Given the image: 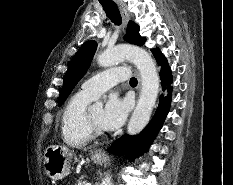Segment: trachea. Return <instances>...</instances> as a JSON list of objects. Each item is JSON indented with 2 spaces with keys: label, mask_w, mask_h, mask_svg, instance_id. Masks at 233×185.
Segmentation results:
<instances>
[{
  "label": "trachea",
  "mask_w": 233,
  "mask_h": 185,
  "mask_svg": "<svg viewBox=\"0 0 233 185\" xmlns=\"http://www.w3.org/2000/svg\"><path fill=\"white\" fill-rule=\"evenodd\" d=\"M103 6V9L105 10L108 18L115 24L120 25L122 22V18L120 15V12L118 10V7L115 3H101ZM130 84H137V79L135 77H132L130 79Z\"/></svg>",
  "instance_id": "obj_1"
}]
</instances>
